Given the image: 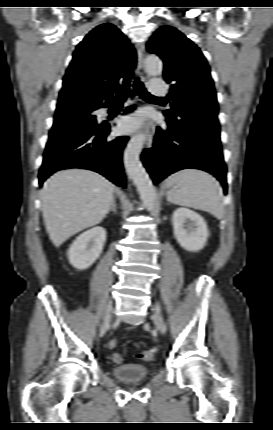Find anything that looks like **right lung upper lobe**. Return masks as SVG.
<instances>
[{
    "label": "right lung upper lobe",
    "instance_id": "right-lung-upper-lobe-1",
    "mask_svg": "<svg viewBox=\"0 0 273 430\" xmlns=\"http://www.w3.org/2000/svg\"><path fill=\"white\" fill-rule=\"evenodd\" d=\"M127 65H136V53L126 36L113 24L97 26L74 51L63 79L58 106L71 100L96 107L111 102L113 89L119 86Z\"/></svg>",
    "mask_w": 273,
    "mask_h": 430
}]
</instances>
